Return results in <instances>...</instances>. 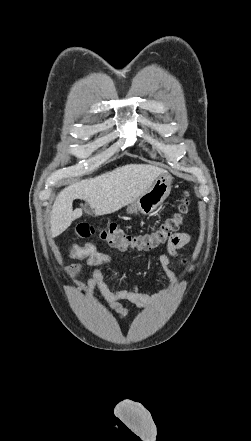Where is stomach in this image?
<instances>
[{
	"label": "stomach",
	"instance_id": "stomach-1",
	"mask_svg": "<svg viewBox=\"0 0 251 441\" xmlns=\"http://www.w3.org/2000/svg\"><path fill=\"white\" fill-rule=\"evenodd\" d=\"M172 180L168 173L160 175L143 194L127 205V214L148 215L156 210L170 194Z\"/></svg>",
	"mask_w": 251,
	"mask_h": 441
}]
</instances>
